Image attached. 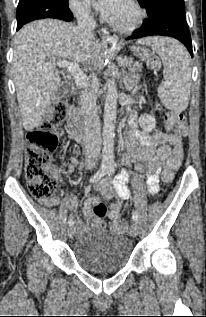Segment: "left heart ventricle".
Here are the masks:
<instances>
[{"label":"left heart ventricle","mask_w":206,"mask_h":317,"mask_svg":"<svg viewBox=\"0 0 206 317\" xmlns=\"http://www.w3.org/2000/svg\"><path fill=\"white\" fill-rule=\"evenodd\" d=\"M134 15V10L127 0H121L110 19L116 23L125 24L130 22L134 18Z\"/></svg>","instance_id":"left-heart-ventricle-1"}]
</instances>
